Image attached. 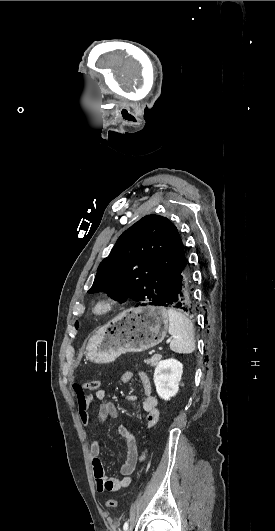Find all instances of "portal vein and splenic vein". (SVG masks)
Returning a JSON list of instances; mask_svg holds the SVG:
<instances>
[{
    "mask_svg": "<svg viewBox=\"0 0 275 531\" xmlns=\"http://www.w3.org/2000/svg\"><path fill=\"white\" fill-rule=\"evenodd\" d=\"M168 342H172V339H168ZM166 346H169V343H166ZM160 350H163V347H160Z\"/></svg>",
    "mask_w": 275,
    "mask_h": 531,
    "instance_id": "1",
    "label": "portal vein and splenic vein"
}]
</instances>
